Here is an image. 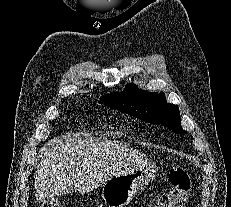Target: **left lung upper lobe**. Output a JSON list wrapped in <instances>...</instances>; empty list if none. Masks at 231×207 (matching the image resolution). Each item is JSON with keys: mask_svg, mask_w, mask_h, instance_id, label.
<instances>
[{"mask_svg": "<svg viewBox=\"0 0 231 207\" xmlns=\"http://www.w3.org/2000/svg\"><path fill=\"white\" fill-rule=\"evenodd\" d=\"M100 100L107 106L152 124H162L175 133H186L180 124L178 106L169 104L164 93L140 90L135 84H127L122 93L103 95Z\"/></svg>", "mask_w": 231, "mask_h": 207, "instance_id": "left-lung-upper-lobe-1", "label": "left lung upper lobe"}]
</instances>
